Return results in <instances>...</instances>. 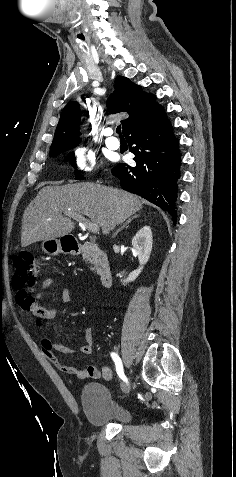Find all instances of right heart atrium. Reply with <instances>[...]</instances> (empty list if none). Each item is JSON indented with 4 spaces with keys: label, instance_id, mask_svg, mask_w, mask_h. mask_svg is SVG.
<instances>
[{
    "label": "right heart atrium",
    "instance_id": "d8ad5b80",
    "mask_svg": "<svg viewBox=\"0 0 236 477\" xmlns=\"http://www.w3.org/2000/svg\"><path fill=\"white\" fill-rule=\"evenodd\" d=\"M73 165L78 171L90 172L96 167V158L89 150L77 147L73 155Z\"/></svg>",
    "mask_w": 236,
    "mask_h": 477
}]
</instances>
